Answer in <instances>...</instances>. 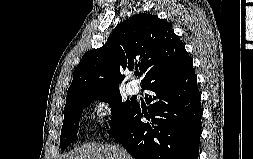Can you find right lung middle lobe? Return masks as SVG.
<instances>
[{
  "mask_svg": "<svg viewBox=\"0 0 253 159\" xmlns=\"http://www.w3.org/2000/svg\"><path fill=\"white\" fill-rule=\"evenodd\" d=\"M95 100L110 104L112 114L110 126L113 128L121 125L126 120L127 115L135 105V102L129 100L122 102L119 90L84 96L70 101L64 108V122L60 137L62 151L76 138L83 109Z\"/></svg>",
  "mask_w": 253,
  "mask_h": 159,
  "instance_id": "right-lung-middle-lobe-1",
  "label": "right lung middle lobe"
}]
</instances>
